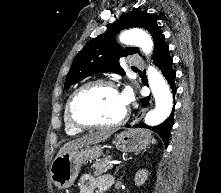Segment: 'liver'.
<instances>
[{
    "label": "liver",
    "instance_id": "obj_1",
    "mask_svg": "<svg viewBox=\"0 0 221 193\" xmlns=\"http://www.w3.org/2000/svg\"><path fill=\"white\" fill-rule=\"evenodd\" d=\"M111 134H112V132L109 130H101V131H97V132H92V133L85 135L81 138L71 140V141L67 142L66 144H64V146H62L60 148L57 156L61 155L63 153L72 151V150H77V149L83 148L84 146H89V145L103 142V141L107 140Z\"/></svg>",
    "mask_w": 221,
    "mask_h": 193
}]
</instances>
